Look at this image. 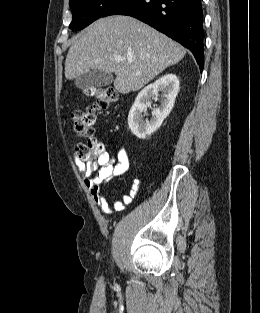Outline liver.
I'll return each mask as SVG.
<instances>
[{
	"label": "liver",
	"mask_w": 260,
	"mask_h": 313,
	"mask_svg": "<svg viewBox=\"0 0 260 313\" xmlns=\"http://www.w3.org/2000/svg\"><path fill=\"white\" fill-rule=\"evenodd\" d=\"M185 54L184 47L149 25L130 16H110L98 19L73 38L65 77L72 80L90 70L115 73V89L128 94L144 87ZM129 56L132 62L126 60Z\"/></svg>",
	"instance_id": "liver-1"
}]
</instances>
